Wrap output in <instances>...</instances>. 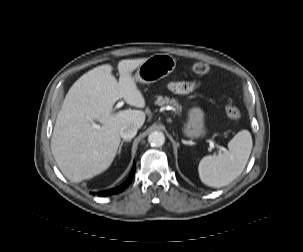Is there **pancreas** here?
Masks as SVG:
<instances>
[{"label":"pancreas","instance_id":"pancreas-1","mask_svg":"<svg viewBox=\"0 0 303 252\" xmlns=\"http://www.w3.org/2000/svg\"><path fill=\"white\" fill-rule=\"evenodd\" d=\"M158 106H167L170 105L173 107L174 111L179 114L182 111L181 105L174 98L163 97L161 95L156 96V100L154 102Z\"/></svg>","mask_w":303,"mask_h":252}]
</instances>
